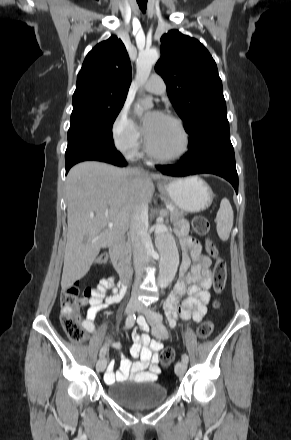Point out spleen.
<instances>
[{
	"label": "spleen",
	"instance_id": "1",
	"mask_svg": "<svg viewBox=\"0 0 291 440\" xmlns=\"http://www.w3.org/2000/svg\"><path fill=\"white\" fill-rule=\"evenodd\" d=\"M233 209L227 198H223L217 212V234L222 241H227L233 227Z\"/></svg>",
	"mask_w": 291,
	"mask_h": 440
}]
</instances>
